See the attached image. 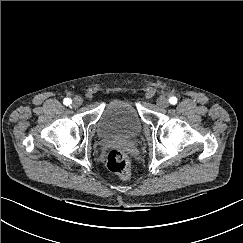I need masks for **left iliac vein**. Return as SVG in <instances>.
<instances>
[{
  "instance_id": "4c4485c4",
  "label": "left iliac vein",
  "mask_w": 243,
  "mask_h": 243,
  "mask_svg": "<svg viewBox=\"0 0 243 243\" xmlns=\"http://www.w3.org/2000/svg\"><path fill=\"white\" fill-rule=\"evenodd\" d=\"M157 105L160 108H167L169 106L168 99L164 96L159 97L158 100H157Z\"/></svg>"
}]
</instances>
